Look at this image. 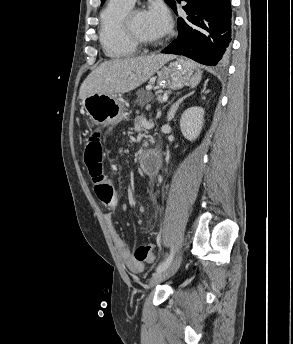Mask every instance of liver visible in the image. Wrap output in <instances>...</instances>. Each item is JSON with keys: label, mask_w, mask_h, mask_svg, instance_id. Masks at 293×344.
<instances>
[{"label": "liver", "mask_w": 293, "mask_h": 344, "mask_svg": "<svg viewBox=\"0 0 293 344\" xmlns=\"http://www.w3.org/2000/svg\"><path fill=\"white\" fill-rule=\"evenodd\" d=\"M171 59V55L152 54L105 61L84 80L79 98L83 100L96 93L118 95L132 91Z\"/></svg>", "instance_id": "6515ba94"}]
</instances>
